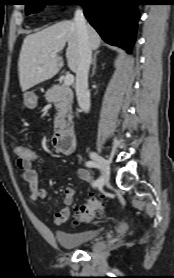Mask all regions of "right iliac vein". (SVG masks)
I'll return each mask as SVG.
<instances>
[{"mask_svg": "<svg viewBox=\"0 0 174 278\" xmlns=\"http://www.w3.org/2000/svg\"><path fill=\"white\" fill-rule=\"evenodd\" d=\"M91 158L99 165V168L101 169L103 174V179L105 182H107L110 177L109 163L107 162V160L96 153L91 154Z\"/></svg>", "mask_w": 174, "mask_h": 278, "instance_id": "1", "label": "right iliac vein"}]
</instances>
